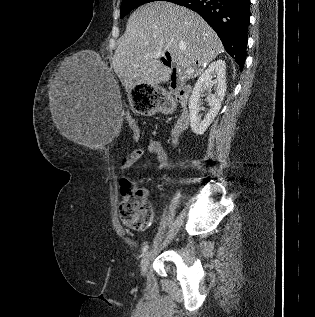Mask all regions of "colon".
<instances>
[{"mask_svg":"<svg viewBox=\"0 0 315 317\" xmlns=\"http://www.w3.org/2000/svg\"><path fill=\"white\" fill-rule=\"evenodd\" d=\"M159 99H164L163 95H158ZM166 107L171 109L173 102H169ZM128 123L136 138L140 136V127L135 119L129 118ZM122 202L120 205L122 221L134 228L143 230L148 228L154 221L155 213L152 204L147 200L145 192L133 185L126 179L121 182Z\"/></svg>","mask_w":315,"mask_h":317,"instance_id":"colon-1","label":"colon"}]
</instances>
